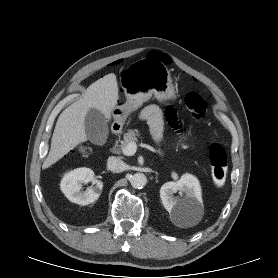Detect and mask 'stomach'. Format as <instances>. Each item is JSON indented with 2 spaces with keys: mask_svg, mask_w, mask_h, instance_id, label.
<instances>
[{
  "mask_svg": "<svg viewBox=\"0 0 278 278\" xmlns=\"http://www.w3.org/2000/svg\"><path fill=\"white\" fill-rule=\"evenodd\" d=\"M120 84L127 98L123 105L113 110L115 123L120 126L130 112L138 109L152 95L160 102L175 97L167 66L155 58H144L127 66L121 71Z\"/></svg>",
  "mask_w": 278,
  "mask_h": 278,
  "instance_id": "1",
  "label": "stomach"
}]
</instances>
